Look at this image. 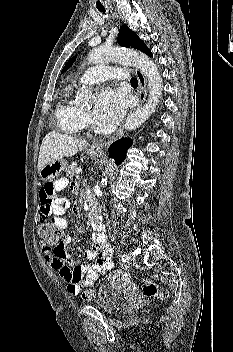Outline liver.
I'll return each instance as SVG.
<instances>
[{
  "label": "liver",
  "mask_w": 233,
  "mask_h": 352,
  "mask_svg": "<svg viewBox=\"0 0 233 352\" xmlns=\"http://www.w3.org/2000/svg\"><path fill=\"white\" fill-rule=\"evenodd\" d=\"M88 145L87 141L78 139L66 134L51 131L43 139L37 169L38 172L48 163L71 157L80 151H83Z\"/></svg>",
  "instance_id": "liver-1"
}]
</instances>
